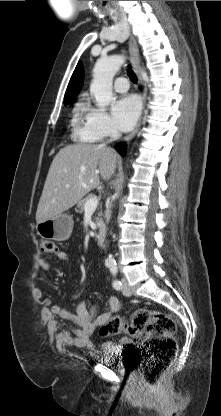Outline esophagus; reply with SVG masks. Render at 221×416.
<instances>
[{"label": "esophagus", "instance_id": "34e87169", "mask_svg": "<svg viewBox=\"0 0 221 416\" xmlns=\"http://www.w3.org/2000/svg\"><path fill=\"white\" fill-rule=\"evenodd\" d=\"M129 53H130L131 63H132L134 72L136 73L138 77L139 83L143 85L142 77H141L140 69H139V64H140L139 49H138L137 41L133 35H130V38H129ZM146 97H147L146 89L143 87L142 98L144 100V103H146ZM140 126H141V121L138 123L136 128L128 136L125 137L124 141L129 142L137 134L138 130L140 129Z\"/></svg>", "mask_w": 221, "mask_h": 416}]
</instances>
